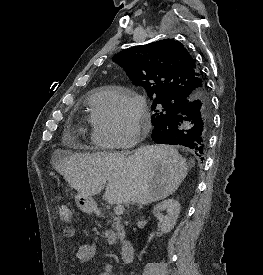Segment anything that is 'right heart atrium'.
Here are the masks:
<instances>
[{
	"label": "right heart atrium",
	"instance_id": "obj_1",
	"mask_svg": "<svg viewBox=\"0 0 263 275\" xmlns=\"http://www.w3.org/2000/svg\"><path fill=\"white\" fill-rule=\"evenodd\" d=\"M93 140L103 148L127 147L140 136L146 122L143 102L136 94L105 88L93 97Z\"/></svg>",
	"mask_w": 263,
	"mask_h": 275
}]
</instances>
